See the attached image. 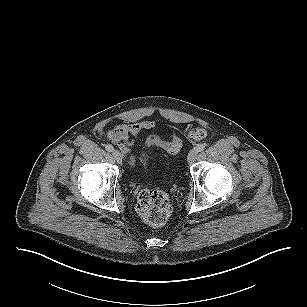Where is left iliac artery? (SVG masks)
Returning <instances> with one entry per match:
<instances>
[{
  "mask_svg": "<svg viewBox=\"0 0 307 307\" xmlns=\"http://www.w3.org/2000/svg\"><path fill=\"white\" fill-rule=\"evenodd\" d=\"M196 149L198 152L203 151L205 149V144H202V143L198 144Z\"/></svg>",
  "mask_w": 307,
  "mask_h": 307,
  "instance_id": "obj_1",
  "label": "left iliac artery"
}]
</instances>
